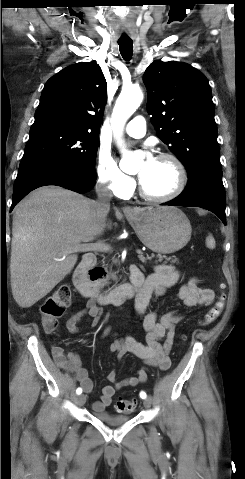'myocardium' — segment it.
I'll list each match as a JSON object with an SVG mask.
<instances>
[{"instance_id": "obj_1", "label": "myocardium", "mask_w": 245, "mask_h": 479, "mask_svg": "<svg viewBox=\"0 0 245 479\" xmlns=\"http://www.w3.org/2000/svg\"><path fill=\"white\" fill-rule=\"evenodd\" d=\"M155 159H164V160H169L173 165L177 173V179H176V184L174 188L168 192L167 194L161 195V196H153L148 194L141 182H138V192L139 195L146 201L152 202V203H165L169 202L176 197H178L182 191L184 190L186 183H187V172L184 164L182 161L173 153L170 152H161L159 153Z\"/></svg>"}]
</instances>
